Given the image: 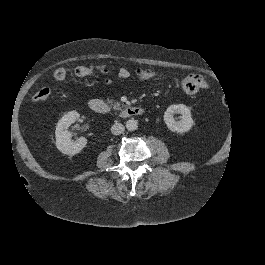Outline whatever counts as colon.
I'll list each match as a JSON object with an SVG mask.
<instances>
[{"mask_svg": "<svg viewBox=\"0 0 265 265\" xmlns=\"http://www.w3.org/2000/svg\"><path fill=\"white\" fill-rule=\"evenodd\" d=\"M76 75L86 77L93 73V68L90 66H79L75 69ZM140 76H150V70H137ZM67 72L64 68H58L53 72L54 79L62 81L66 78ZM51 95V90L48 87H41L32 95V101L41 102L46 100Z\"/></svg>", "mask_w": 265, "mask_h": 265, "instance_id": "5ec220e1", "label": "colon"}]
</instances>
